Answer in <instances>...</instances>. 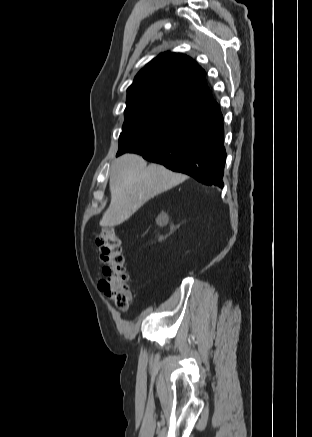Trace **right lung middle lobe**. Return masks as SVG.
Returning <instances> with one entry per match:
<instances>
[{"mask_svg": "<svg viewBox=\"0 0 312 437\" xmlns=\"http://www.w3.org/2000/svg\"><path fill=\"white\" fill-rule=\"evenodd\" d=\"M197 116L196 112L160 103L127 107L117 156L159 143L184 129Z\"/></svg>", "mask_w": 312, "mask_h": 437, "instance_id": "dd1d6c3e", "label": "right lung middle lobe"}]
</instances>
